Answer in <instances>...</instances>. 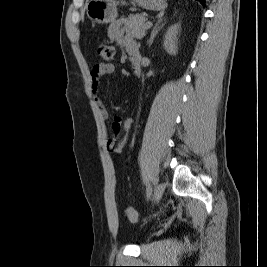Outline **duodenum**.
Masks as SVG:
<instances>
[{
  "label": "duodenum",
  "instance_id": "410a0bca",
  "mask_svg": "<svg viewBox=\"0 0 267 267\" xmlns=\"http://www.w3.org/2000/svg\"><path fill=\"white\" fill-rule=\"evenodd\" d=\"M132 69L135 75H140L141 73V61L140 58H133L132 59Z\"/></svg>",
  "mask_w": 267,
  "mask_h": 267
}]
</instances>
